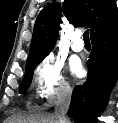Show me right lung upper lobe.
<instances>
[{"instance_id":"1","label":"right lung upper lobe","mask_w":118,"mask_h":123,"mask_svg":"<svg viewBox=\"0 0 118 123\" xmlns=\"http://www.w3.org/2000/svg\"><path fill=\"white\" fill-rule=\"evenodd\" d=\"M75 27H90L91 40L118 27V12L114 0H65L48 4L39 13L34 27L26 70L44 59L54 48L61 10Z\"/></svg>"}]
</instances>
